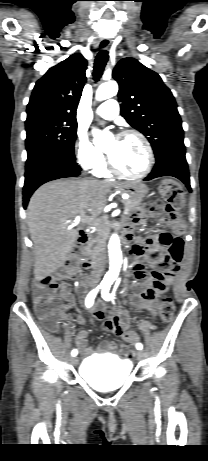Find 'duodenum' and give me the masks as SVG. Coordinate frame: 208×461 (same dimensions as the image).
<instances>
[{"instance_id":"duodenum-1","label":"duodenum","mask_w":208,"mask_h":461,"mask_svg":"<svg viewBox=\"0 0 208 461\" xmlns=\"http://www.w3.org/2000/svg\"><path fill=\"white\" fill-rule=\"evenodd\" d=\"M131 239H132V234L129 231V229L126 228V231L122 235V240L123 242L127 243ZM89 242H90L89 234L85 230L80 229L78 231V244L80 246H87ZM97 259H98V256L96 252L92 253L91 255L86 256L84 260L85 268L88 270L93 269L97 263Z\"/></svg>"}]
</instances>
